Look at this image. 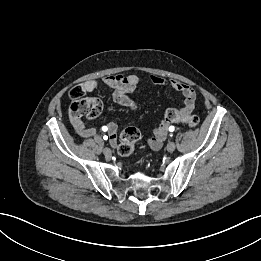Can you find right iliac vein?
Segmentation results:
<instances>
[{
    "label": "right iliac vein",
    "mask_w": 261,
    "mask_h": 261,
    "mask_svg": "<svg viewBox=\"0 0 261 261\" xmlns=\"http://www.w3.org/2000/svg\"><path fill=\"white\" fill-rule=\"evenodd\" d=\"M103 153L106 157H110L111 156V149L110 148H105L103 150Z\"/></svg>",
    "instance_id": "63e3f726"
}]
</instances>
